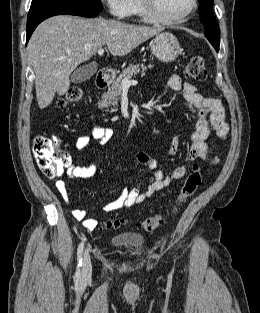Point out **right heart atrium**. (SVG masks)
Masks as SVG:
<instances>
[{
    "label": "right heart atrium",
    "mask_w": 260,
    "mask_h": 313,
    "mask_svg": "<svg viewBox=\"0 0 260 313\" xmlns=\"http://www.w3.org/2000/svg\"><path fill=\"white\" fill-rule=\"evenodd\" d=\"M102 2L117 19H125L132 14L134 0H102Z\"/></svg>",
    "instance_id": "1"
}]
</instances>
